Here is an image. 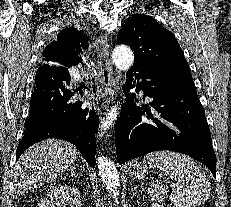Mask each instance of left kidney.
Returning a JSON list of instances; mask_svg holds the SVG:
<instances>
[{
	"instance_id": "1",
	"label": "left kidney",
	"mask_w": 231,
	"mask_h": 207,
	"mask_svg": "<svg viewBox=\"0 0 231 207\" xmlns=\"http://www.w3.org/2000/svg\"><path fill=\"white\" fill-rule=\"evenodd\" d=\"M152 207H164L162 204L159 203H153Z\"/></svg>"
}]
</instances>
